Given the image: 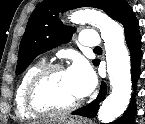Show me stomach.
Here are the masks:
<instances>
[{
	"instance_id": "0dacf381",
	"label": "stomach",
	"mask_w": 145,
	"mask_h": 124,
	"mask_svg": "<svg viewBox=\"0 0 145 124\" xmlns=\"http://www.w3.org/2000/svg\"><path fill=\"white\" fill-rule=\"evenodd\" d=\"M51 124H86L84 121L77 120V119H61L58 120L56 123H51Z\"/></svg>"
}]
</instances>
